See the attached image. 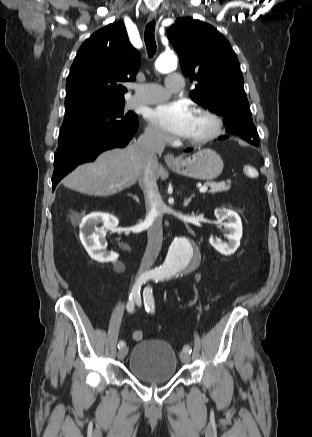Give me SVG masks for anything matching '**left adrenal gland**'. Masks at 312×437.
<instances>
[{
    "mask_svg": "<svg viewBox=\"0 0 312 437\" xmlns=\"http://www.w3.org/2000/svg\"><path fill=\"white\" fill-rule=\"evenodd\" d=\"M193 197H194V195H191L187 200H185V202H184L185 207H187L189 205V203L191 202Z\"/></svg>",
    "mask_w": 312,
    "mask_h": 437,
    "instance_id": "a2214340",
    "label": "left adrenal gland"
}]
</instances>
